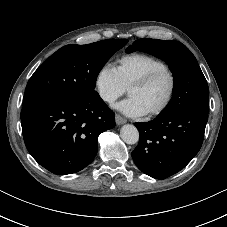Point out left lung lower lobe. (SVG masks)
Segmentation results:
<instances>
[{
  "mask_svg": "<svg viewBox=\"0 0 227 227\" xmlns=\"http://www.w3.org/2000/svg\"><path fill=\"white\" fill-rule=\"evenodd\" d=\"M208 116L195 111L159 115L147 123H135L140 140L132 152L145 174L165 179L182 170L202 146Z\"/></svg>",
  "mask_w": 227,
  "mask_h": 227,
  "instance_id": "left-lung-lower-lobe-1",
  "label": "left lung lower lobe"
}]
</instances>
